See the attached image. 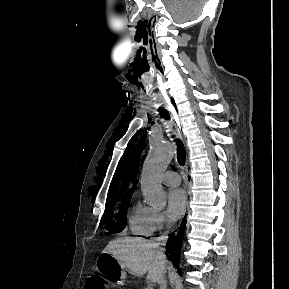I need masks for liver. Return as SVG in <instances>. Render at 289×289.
Masks as SVG:
<instances>
[{
  "label": "liver",
  "mask_w": 289,
  "mask_h": 289,
  "mask_svg": "<svg viewBox=\"0 0 289 289\" xmlns=\"http://www.w3.org/2000/svg\"><path fill=\"white\" fill-rule=\"evenodd\" d=\"M103 253L113 255L121 268L128 269L135 276L142 277L147 273V280L153 283H158L165 273V264L158 258L155 245L142 238L113 240Z\"/></svg>",
  "instance_id": "1"
}]
</instances>
